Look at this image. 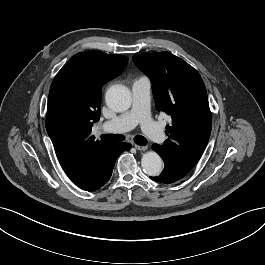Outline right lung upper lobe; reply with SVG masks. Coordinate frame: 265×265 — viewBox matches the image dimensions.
I'll list each match as a JSON object with an SVG mask.
<instances>
[{"label":"right lung upper lobe","instance_id":"1","mask_svg":"<svg viewBox=\"0 0 265 265\" xmlns=\"http://www.w3.org/2000/svg\"><path fill=\"white\" fill-rule=\"evenodd\" d=\"M127 62L128 58L123 55L98 51L78 53L54 78L46 130L65 172L76 168L95 148L108 144L95 140L91 129L101 112V87L117 77ZM63 76L68 80L72 98L66 105L59 106L55 101V86Z\"/></svg>","mask_w":265,"mask_h":265}]
</instances>
